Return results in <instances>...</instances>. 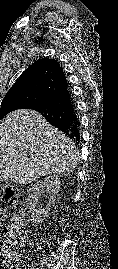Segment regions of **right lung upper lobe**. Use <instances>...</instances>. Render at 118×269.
I'll use <instances>...</instances> for the list:
<instances>
[{"label":"right lung upper lobe","instance_id":"obj_1","mask_svg":"<svg viewBox=\"0 0 118 269\" xmlns=\"http://www.w3.org/2000/svg\"><path fill=\"white\" fill-rule=\"evenodd\" d=\"M68 87V82L59 62L42 58L30 65L9 89L6 95L26 96L25 108L45 97Z\"/></svg>","mask_w":118,"mask_h":269}]
</instances>
